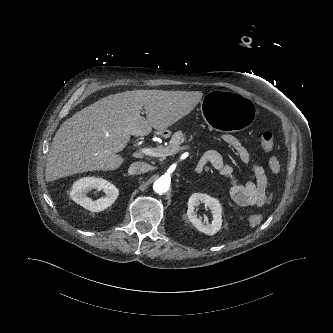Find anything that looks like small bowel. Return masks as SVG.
I'll return each instance as SVG.
<instances>
[{"instance_id": "obj_1", "label": "small bowel", "mask_w": 333, "mask_h": 333, "mask_svg": "<svg viewBox=\"0 0 333 333\" xmlns=\"http://www.w3.org/2000/svg\"><path fill=\"white\" fill-rule=\"evenodd\" d=\"M221 140L235 151L242 163L251 166L254 179L246 183H241L233 167L215 150L208 151L198 164L202 166V170L207 165H211L222 175L230 185L232 199L239 205L263 206L269 198V180L280 172L278 159L276 157L270 158L269 168L271 176L269 177L264 168L252 160L250 152L237 137L229 133H224L221 135Z\"/></svg>"}]
</instances>
